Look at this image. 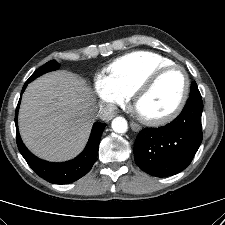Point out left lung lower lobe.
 <instances>
[{
    "instance_id": "0a47b994",
    "label": "left lung lower lobe",
    "mask_w": 225,
    "mask_h": 225,
    "mask_svg": "<svg viewBox=\"0 0 225 225\" xmlns=\"http://www.w3.org/2000/svg\"><path fill=\"white\" fill-rule=\"evenodd\" d=\"M202 111L201 95H193L170 124L140 131L134 145L136 164L156 177L171 176L184 170L202 142Z\"/></svg>"
}]
</instances>
